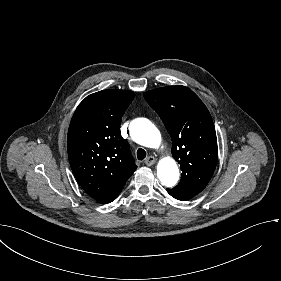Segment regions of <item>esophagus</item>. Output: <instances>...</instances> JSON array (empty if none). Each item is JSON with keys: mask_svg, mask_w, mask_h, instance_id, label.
I'll list each match as a JSON object with an SVG mask.
<instances>
[{"mask_svg": "<svg viewBox=\"0 0 281 281\" xmlns=\"http://www.w3.org/2000/svg\"><path fill=\"white\" fill-rule=\"evenodd\" d=\"M156 162V159L153 156H149L146 160H145V164L147 166H152L154 163Z\"/></svg>", "mask_w": 281, "mask_h": 281, "instance_id": "esophagus-1", "label": "esophagus"}]
</instances>
